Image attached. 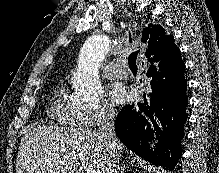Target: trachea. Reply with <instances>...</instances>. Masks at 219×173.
I'll return each instance as SVG.
<instances>
[{
  "mask_svg": "<svg viewBox=\"0 0 219 173\" xmlns=\"http://www.w3.org/2000/svg\"><path fill=\"white\" fill-rule=\"evenodd\" d=\"M129 42H132L131 33L129 32ZM139 51L133 52L128 57V64L131 69L137 68L136 60Z\"/></svg>",
  "mask_w": 219,
  "mask_h": 173,
  "instance_id": "obj_1",
  "label": "trachea"
}]
</instances>
